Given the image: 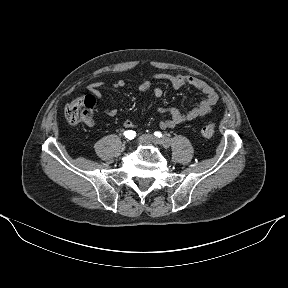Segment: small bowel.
Listing matches in <instances>:
<instances>
[{
	"label": "small bowel",
	"mask_w": 288,
	"mask_h": 288,
	"mask_svg": "<svg viewBox=\"0 0 288 288\" xmlns=\"http://www.w3.org/2000/svg\"><path fill=\"white\" fill-rule=\"evenodd\" d=\"M155 78L168 81L174 88L179 89L186 85H190L198 90H200L204 95L205 98L195 107H193L188 112H182L178 108L175 107H160L158 109L160 114L167 115L166 118L160 121V127L162 129L173 128L179 124H182L187 121H192L195 119H199L208 115L212 108L218 101V95L215 90L208 85L203 80L191 76V75H171V74H162L157 73L154 75ZM126 85V81L123 79L117 80L113 83V87L121 88ZM103 86V82L96 81L88 85L87 89L91 93H93L98 98L102 99V93L100 88ZM139 90L142 94H151L156 98H160L163 95L162 88L158 86H153L150 82H143L139 86ZM104 112L109 115L113 116L116 114V108L112 106H104ZM89 126L93 125V121L87 123ZM124 127L126 129H135L137 127L136 123L132 119H127L124 122Z\"/></svg>",
	"instance_id": "c3829d8e"
}]
</instances>
